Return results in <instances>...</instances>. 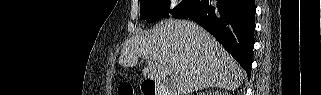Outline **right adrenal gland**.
Returning <instances> with one entry per match:
<instances>
[{"label":"right adrenal gland","mask_w":321,"mask_h":95,"mask_svg":"<svg viewBox=\"0 0 321 95\" xmlns=\"http://www.w3.org/2000/svg\"><path fill=\"white\" fill-rule=\"evenodd\" d=\"M205 92H206L207 94H210V93H211V91H210V90H208V91L206 90Z\"/></svg>","instance_id":"2a0ac1e0"}]
</instances>
